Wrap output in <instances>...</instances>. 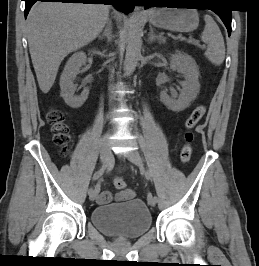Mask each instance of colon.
I'll return each instance as SVG.
<instances>
[{
  "label": "colon",
  "mask_w": 259,
  "mask_h": 266,
  "mask_svg": "<svg viewBox=\"0 0 259 266\" xmlns=\"http://www.w3.org/2000/svg\"><path fill=\"white\" fill-rule=\"evenodd\" d=\"M206 112L204 105L197 106L185 121L186 131L184 133V145L180 151V159L183 163L190 161L192 157V142L194 140L193 129L200 122ZM47 121L51 126L54 142L61 148L63 154H67L70 149L71 137L69 126L65 121L63 113L51 108L46 115ZM114 186L123 191L126 189V182L123 178L117 177Z\"/></svg>",
  "instance_id": "colon-1"
}]
</instances>
